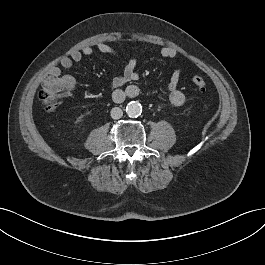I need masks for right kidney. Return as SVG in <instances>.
<instances>
[{"label": "right kidney", "instance_id": "obj_1", "mask_svg": "<svg viewBox=\"0 0 265 265\" xmlns=\"http://www.w3.org/2000/svg\"><path fill=\"white\" fill-rule=\"evenodd\" d=\"M76 122H77V123H80V122H82V117H81V116H80V117H78V118H77V120H76Z\"/></svg>", "mask_w": 265, "mask_h": 265}]
</instances>
